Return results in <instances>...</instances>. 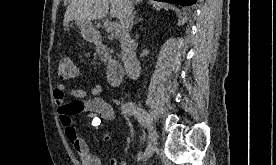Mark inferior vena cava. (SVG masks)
I'll use <instances>...</instances> for the list:
<instances>
[{
	"label": "inferior vena cava",
	"instance_id": "602c4592",
	"mask_svg": "<svg viewBox=\"0 0 276 165\" xmlns=\"http://www.w3.org/2000/svg\"><path fill=\"white\" fill-rule=\"evenodd\" d=\"M133 2L124 0L121 15L119 17V36L122 49V60L129 76L137 79L140 76L141 67L135 58L132 41L129 35V27L132 20Z\"/></svg>",
	"mask_w": 276,
	"mask_h": 165
}]
</instances>
